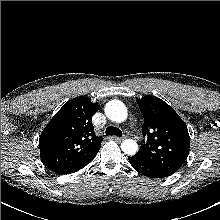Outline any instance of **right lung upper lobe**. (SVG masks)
Segmentation results:
<instances>
[{
    "label": "right lung upper lobe",
    "instance_id": "1",
    "mask_svg": "<svg viewBox=\"0 0 220 220\" xmlns=\"http://www.w3.org/2000/svg\"><path fill=\"white\" fill-rule=\"evenodd\" d=\"M98 103L86 97L69 100L47 124L39 140L43 164L54 172L91 158L103 140L94 133Z\"/></svg>",
    "mask_w": 220,
    "mask_h": 220
}]
</instances>
